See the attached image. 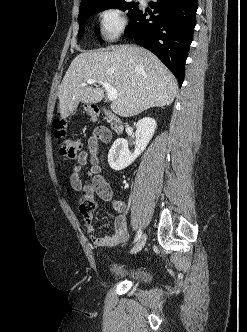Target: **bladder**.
Returning <instances> with one entry per match:
<instances>
[{
    "label": "bladder",
    "mask_w": 247,
    "mask_h": 332,
    "mask_svg": "<svg viewBox=\"0 0 247 332\" xmlns=\"http://www.w3.org/2000/svg\"><path fill=\"white\" fill-rule=\"evenodd\" d=\"M111 271L112 275L116 279H123L136 284H144L149 280L147 271L144 268L138 266H113Z\"/></svg>",
    "instance_id": "bladder-1"
}]
</instances>
